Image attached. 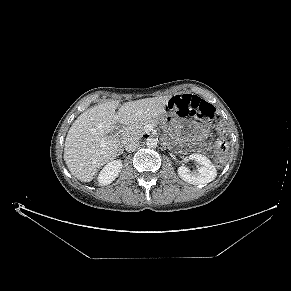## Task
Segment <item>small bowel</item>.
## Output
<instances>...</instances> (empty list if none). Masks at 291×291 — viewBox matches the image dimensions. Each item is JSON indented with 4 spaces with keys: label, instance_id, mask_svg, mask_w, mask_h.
Segmentation results:
<instances>
[{
    "label": "small bowel",
    "instance_id": "small-bowel-1",
    "mask_svg": "<svg viewBox=\"0 0 291 291\" xmlns=\"http://www.w3.org/2000/svg\"><path fill=\"white\" fill-rule=\"evenodd\" d=\"M184 96H191V97H197L195 95H191V94H183Z\"/></svg>",
    "mask_w": 291,
    "mask_h": 291
}]
</instances>
